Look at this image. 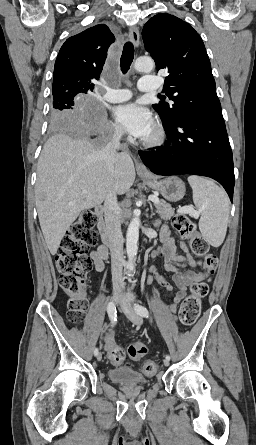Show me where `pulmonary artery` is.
<instances>
[{
  "label": "pulmonary artery",
  "mask_w": 256,
  "mask_h": 445,
  "mask_svg": "<svg viewBox=\"0 0 256 445\" xmlns=\"http://www.w3.org/2000/svg\"><path fill=\"white\" fill-rule=\"evenodd\" d=\"M138 89L141 92H154L158 89L157 78L152 76H143L138 83ZM131 93L126 89H108L104 98L110 103H120L131 98Z\"/></svg>",
  "instance_id": "e3ab8cb5"
}]
</instances>
